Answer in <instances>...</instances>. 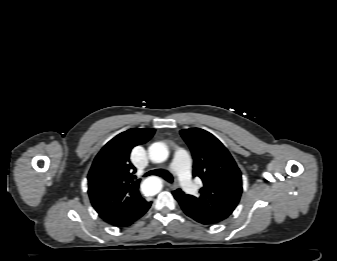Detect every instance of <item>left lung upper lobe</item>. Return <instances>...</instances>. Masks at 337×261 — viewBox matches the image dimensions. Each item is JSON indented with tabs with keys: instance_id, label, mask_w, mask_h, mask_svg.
I'll return each instance as SVG.
<instances>
[{
	"instance_id": "5c2ea615",
	"label": "left lung upper lobe",
	"mask_w": 337,
	"mask_h": 261,
	"mask_svg": "<svg viewBox=\"0 0 337 261\" xmlns=\"http://www.w3.org/2000/svg\"><path fill=\"white\" fill-rule=\"evenodd\" d=\"M191 149L193 176L203 181L198 196L177 189L178 202L219 223L237 206L242 193L241 172L225 146L211 133L190 128L180 131Z\"/></svg>"
}]
</instances>
